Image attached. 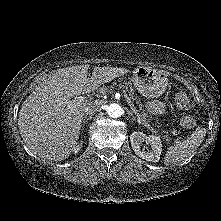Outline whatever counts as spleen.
Wrapping results in <instances>:
<instances>
[{
  "instance_id": "obj_1",
  "label": "spleen",
  "mask_w": 221,
  "mask_h": 221,
  "mask_svg": "<svg viewBox=\"0 0 221 221\" xmlns=\"http://www.w3.org/2000/svg\"><path fill=\"white\" fill-rule=\"evenodd\" d=\"M205 134V128L198 127L186 140L177 141L169 146L165 155L164 163L175 164L189 158L200 146Z\"/></svg>"
}]
</instances>
